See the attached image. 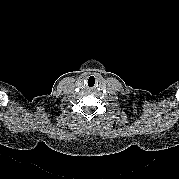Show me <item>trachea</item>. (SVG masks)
<instances>
[{"mask_svg": "<svg viewBox=\"0 0 179 179\" xmlns=\"http://www.w3.org/2000/svg\"><path fill=\"white\" fill-rule=\"evenodd\" d=\"M96 81H97L96 78L92 76V77L89 78L87 83H88L89 86L92 87V86L95 85Z\"/></svg>", "mask_w": 179, "mask_h": 179, "instance_id": "trachea-1", "label": "trachea"}]
</instances>
